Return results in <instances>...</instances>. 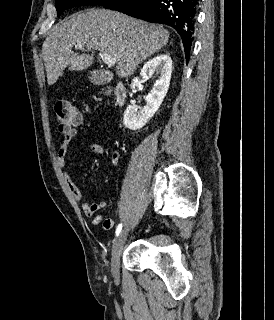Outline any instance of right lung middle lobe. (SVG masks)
Instances as JSON below:
<instances>
[{"mask_svg": "<svg viewBox=\"0 0 274 320\" xmlns=\"http://www.w3.org/2000/svg\"><path fill=\"white\" fill-rule=\"evenodd\" d=\"M111 0H55V6L57 9L58 16L61 13L74 6H84V5H105Z\"/></svg>", "mask_w": 274, "mask_h": 320, "instance_id": "right-lung-middle-lobe-1", "label": "right lung middle lobe"}]
</instances>
